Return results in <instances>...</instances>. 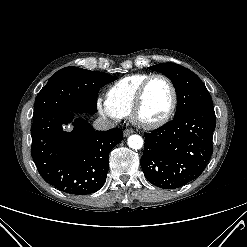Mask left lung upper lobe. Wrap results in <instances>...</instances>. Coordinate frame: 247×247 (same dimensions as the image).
Here are the masks:
<instances>
[{"label": "left lung upper lobe", "instance_id": "1", "mask_svg": "<svg viewBox=\"0 0 247 247\" xmlns=\"http://www.w3.org/2000/svg\"><path fill=\"white\" fill-rule=\"evenodd\" d=\"M151 69L163 72L169 78L177 92L175 117L189 110L213 107L212 98L201 79L189 69L175 63H161Z\"/></svg>", "mask_w": 247, "mask_h": 247}]
</instances>
